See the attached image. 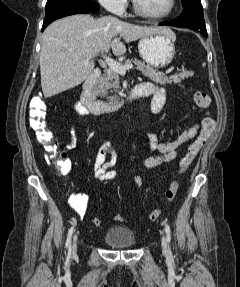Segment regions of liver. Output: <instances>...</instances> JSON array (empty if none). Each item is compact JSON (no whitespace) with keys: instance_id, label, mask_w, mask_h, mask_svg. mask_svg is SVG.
Returning <instances> with one entry per match:
<instances>
[{"instance_id":"liver-1","label":"liver","mask_w":240,"mask_h":287,"mask_svg":"<svg viewBox=\"0 0 240 287\" xmlns=\"http://www.w3.org/2000/svg\"><path fill=\"white\" fill-rule=\"evenodd\" d=\"M165 26H141L103 16L77 14L59 19L44 31L40 52L41 86L45 98L80 85L93 71L99 53L126 52V43L156 33H171ZM119 35V37H117ZM92 56L88 63L85 59Z\"/></svg>"}]
</instances>
